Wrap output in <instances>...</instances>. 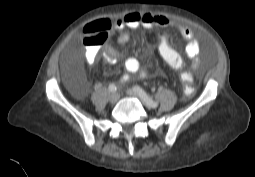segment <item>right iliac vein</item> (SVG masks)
I'll list each match as a JSON object with an SVG mask.
<instances>
[{
    "mask_svg": "<svg viewBox=\"0 0 255 177\" xmlns=\"http://www.w3.org/2000/svg\"><path fill=\"white\" fill-rule=\"evenodd\" d=\"M119 98H120L119 93H113V94H111V96L109 97V101H110L111 103H116V102L119 100Z\"/></svg>",
    "mask_w": 255,
    "mask_h": 177,
    "instance_id": "right-iliac-vein-1",
    "label": "right iliac vein"
}]
</instances>
